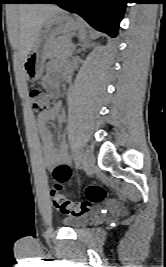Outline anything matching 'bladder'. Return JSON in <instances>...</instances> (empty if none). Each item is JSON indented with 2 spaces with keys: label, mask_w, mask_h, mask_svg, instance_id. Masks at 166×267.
<instances>
[{
  "label": "bladder",
  "mask_w": 166,
  "mask_h": 267,
  "mask_svg": "<svg viewBox=\"0 0 166 267\" xmlns=\"http://www.w3.org/2000/svg\"><path fill=\"white\" fill-rule=\"evenodd\" d=\"M96 217L95 213H87L84 215H79V216H73L69 217L63 220V224L67 227L76 229L83 227L90 223L92 220H94Z\"/></svg>",
  "instance_id": "1"
}]
</instances>
